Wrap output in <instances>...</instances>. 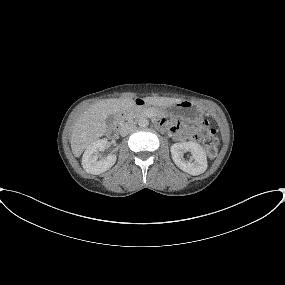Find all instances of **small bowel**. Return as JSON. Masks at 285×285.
I'll use <instances>...</instances> for the list:
<instances>
[{"mask_svg": "<svg viewBox=\"0 0 285 285\" xmlns=\"http://www.w3.org/2000/svg\"><path fill=\"white\" fill-rule=\"evenodd\" d=\"M171 132L174 139L183 140L186 138V134L184 132H179L176 127H172Z\"/></svg>", "mask_w": 285, "mask_h": 285, "instance_id": "obj_1", "label": "small bowel"}]
</instances>
